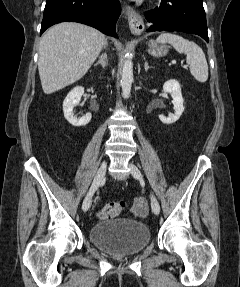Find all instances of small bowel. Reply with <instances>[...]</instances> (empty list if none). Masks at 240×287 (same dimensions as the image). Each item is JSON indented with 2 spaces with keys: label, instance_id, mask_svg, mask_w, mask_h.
Wrapping results in <instances>:
<instances>
[{
  "label": "small bowel",
  "instance_id": "small-bowel-1",
  "mask_svg": "<svg viewBox=\"0 0 240 287\" xmlns=\"http://www.w3.org/2000/svg\"><path fill=\"white\" fill-rule=\"evenodd\" d=\"M133 210L138 215H144L148 211V204L143 196H138L133 200Z\"/></svg>",
  "mask_w": 240,
  "mask_h": 287
}]
</instances>
